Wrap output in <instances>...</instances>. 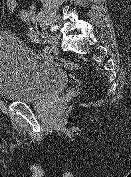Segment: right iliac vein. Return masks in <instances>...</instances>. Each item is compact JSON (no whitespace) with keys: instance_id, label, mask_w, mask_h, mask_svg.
Segmentation results:
<instances>
[{"instance_id":"right-iliac-vein-1","label":"right iliac vein","mask_w":131,"mask_h":177,"mask_svg":"<svg viewBox=\"0 0 131 177\" xmlns=\"http://www.w3.org/2000/svg\"><path fill=\"white\" fill-rule=\"evenodd\" d=\"M30 14H31L32 20H33L36 24H39V23H40V19H41L40 15L37 14L35 10H31V13H30ZM41 34H42L43 39H44L48 44H50L52 47L57 46V44H58V39H57L55 36H53V35H51V34L45 32V31L42 30V29H41Z\"/></svg>"}]
</instances>
